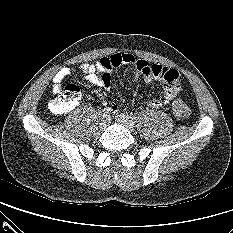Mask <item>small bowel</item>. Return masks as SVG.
Returning <instances> with one entry per match:
<instances>
[{"label": "small bowel", "instance_id": "c3829d8e", "mask_svg": "<svg viewBox=\"0 0 233 233\" xmlns=\"http://www.w3.org/2000/svg\"><path fill=\"white\" fill-rule=\"evenodd\" d=\"M123 64L130 65L133 68L135 79L143 77L147 82L158 81L163 84V96L150 101L148 103L150 108H163L179 95L181 91V81L180 75L176 70L157 64H149L128 53H114L102 57L95 63L81 65L80 70L85 75V79L92 85L109 87L111 82L110 72ZM71 72L72 70L70 68L63 67L55 73L52 86L55 93L59 92L62 82ZM112 110L116 112L118 110V105L113 104Z\"/></svg>", "mask_w": 233, "mask_h": 233}]
</instances>
